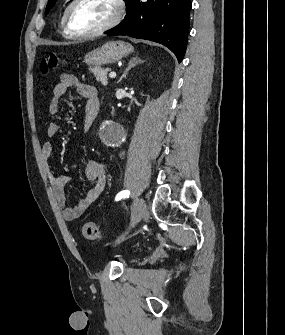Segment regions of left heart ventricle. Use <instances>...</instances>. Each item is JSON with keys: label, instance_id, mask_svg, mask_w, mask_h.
Wrapping results in <instances>:
<instances>
[{"label": "left heart ventricle", "instance_id": "1", "mask_svg": "<svg viewBox=\"0 0 285 335\" xmlns=\"http://www.w3.org/2000/svg\"><path fill=\"white\" fill-rule=\"evenodd\" d=\"M113 14L110 1H85L76 8L74 23L80 30L92 31L103 27Z\"/></svg>", "mask_w": 285, "mask_h": 335}]
</instances>
